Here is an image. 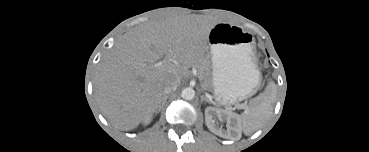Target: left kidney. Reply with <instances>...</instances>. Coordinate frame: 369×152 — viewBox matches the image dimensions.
Returning a JSON list of instances; mask_svg holds the SVG:
<instances>
[{
    "label": "left kidney",
    "mask_w": 369,
    "mask_h": 152,
    "mask_svg": "<svg viewBox=\"0 0 369 152\" xmlns=\"http://www.w3.org/2000/svg\"><path fill=\"white\" fill-rule=\"evenodd\" d=\"M214 115H217L220 120L227 121V130L215 124ZM205 122L208 129L220 137L235 140L240 136L241 128L237 116L233 113L214 107H207L205 109Z\"/></svg>",
    "instance_id": "1"
}]
</instances>
